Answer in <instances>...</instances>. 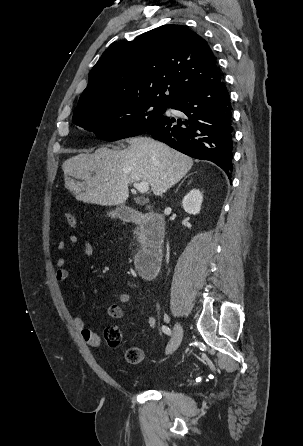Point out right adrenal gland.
Returning <instances> with one entry per match:
<instances>
[{
  "mask_svg": "<svg viewBox=\"0 0 303 446\" xmlns=\"http://www.w3.org/2000/svg\"><path fill=\"white\" fill-rule=\"evenodd\" d=\"M188 176H186L183 180H182V182L179 184V187L181 186V184L183 183V181L187 178ZM178 190V189H177Z\"/></svg>",
  "mask_w": 303,
  "mask_h": 446,
  "instance_id": "2a0ac1e0",
  "label": "right adrenal gland"
}]
</instances>
